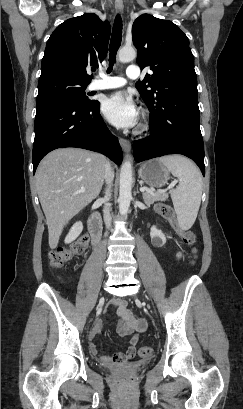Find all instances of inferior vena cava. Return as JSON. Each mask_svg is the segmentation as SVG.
<instances>
[{
    "label": "inferior vena cava",
    "instance_id": "602c4592",
    "mask_svg": "<svg viewBox=\"0 0 243 409\" xmlns=\"http://www.w3.org/2000/svg\"><path fill=\"white\" fill-rule=\"evenodd\" d=\"M104 178H105V182L107 184V189L105 192V196L103 198V201L105 202V206L103 209V213H104V222L107 228L111 227V216H110V210H109V203L108 201L111 198V193H110V189H111V185L113 182V178H114V173L112 171L111 165L108 161H106L105 164V172H104Z\"/></svg>",
    "mask_w": 243,
    "mask_h": 409
}]
</instances>
